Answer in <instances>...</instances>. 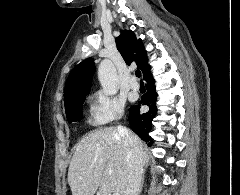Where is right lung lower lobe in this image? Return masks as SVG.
Returning <instances> with one entry per match:
<instances>
[{"instance_id": "1", "label": "right lung lower lobe", "mask_w": 240, "mask_h": 195, "mask_svg": "<svg viewBox=\"0 0 240 195\" xmlns=\"http://www.w3.org/2000/svg\"><path fill=\"white\" fill-rule=\"evenodd\" d=\"M154 83L155 81L152 76L146 80L147 93L142 96L138 105L130 108L128 117L131 129L138 134L142 140L150 142V144L153 140L150 137L149 132L153 128V120L158 111L156 106L157 93ZM140 104L147 105L149 107V111L140 114Z\"/></svg>"}]
</instances>
